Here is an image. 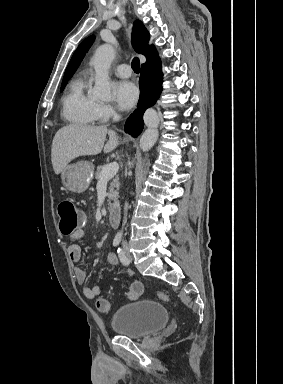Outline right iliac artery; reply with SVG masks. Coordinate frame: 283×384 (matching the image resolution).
Returning <instances> with one entry per match:
<instances>
[{"instance_id": "right-iliac-artery-1", "label": "right iliac artery", "mask_w": 283, "mask_h": 384, "mask_svg": "<svg viewBox=\"0 0 283 384\" xmlns=\"http://www.w3.org/2000/svg\"><path fill=\"white\" fill-rule=\"evenodd\" d=\"M121 241V237L119 235L115 236L114 240H113V246H118L119 243Z\"/></svg>"}]
</instances>
